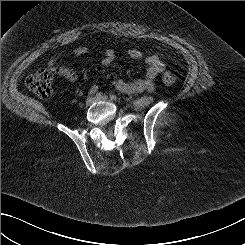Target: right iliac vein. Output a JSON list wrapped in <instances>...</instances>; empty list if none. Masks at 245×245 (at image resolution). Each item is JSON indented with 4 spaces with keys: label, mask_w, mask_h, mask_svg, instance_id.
Instances as JSON below:
<instances>
[{
    "label": "right iliac vein",
    "mask_w": 245,
    "mask_h": 245,
    "mask_svg": "<svg viewBox=\"0 0 245 245\" xmlns=\"http://www.w3.org/2000/svg\"><path fill=\"white\" fill-rule=\"evenodd\" d=\"M95 99L93 97H88L85 101L86 106H90L94 103Z\"/></svg>",
    "instance_id": "right-iliac-vein-1"
}]
</instances>
